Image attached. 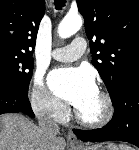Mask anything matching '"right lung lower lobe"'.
Wrapping results in <instances>:
<instances>
[{
	"mask_svg": "<svg viewBox=\"0 0 139 150\" xmlns=\"http://www.w3.org/2000/svg\"><path fill=\"white\" fill-rule=\"evenodd\" d=\"M27 94L28 91L0 85V115L20 112L34 117Z\"/></svg>",
	"mask_w": 139,
	"mask_h": 150,
	"instance_id": "obj_1",
	"label": "right lung lower lobe"
}]
</instances>
